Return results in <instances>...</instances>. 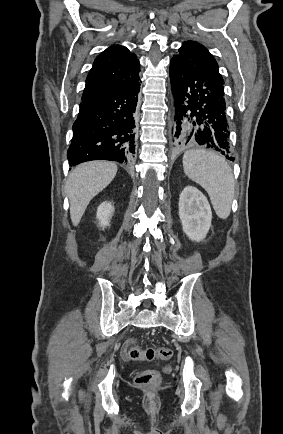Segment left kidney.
<instances>
[{"instance_id": "left-kidney-1", "label": "left kidney", "mask_w": 283, "mask_h": 434, "mask_svg": "<svg viewBox=\"0 0 283 434\" xmlns=\"http://www.w3.org/2000/svg\"><path fill=\"white\" fill-rule=\"evenodd\" d=\"M179 217L184 233L192 241H202L211 226L212 212L207 198L193 186H186L179 198Z\"/></svg>"}]
</instances>
